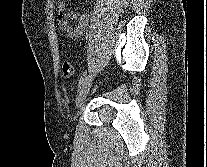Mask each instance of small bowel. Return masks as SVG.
I'll return each instance as SVG.
<instances>
[{"instance_id": "obj_1", "label": "small bowel", "mask_w": 207, "mask_h": 167, "mask_svg": "<svg viewBox=\"0 0 207 167\" xmlns=\"http://www.w3.org/2000/svg\"><path fill=\"white\" fill-rule=\"evenodd\" d=\"M59 28L70 39L79 38L85 31L89 22V13L87 11L70 12L67 9L66 2L60 0L58 4Z\"/></svg>"}]
</instances>
